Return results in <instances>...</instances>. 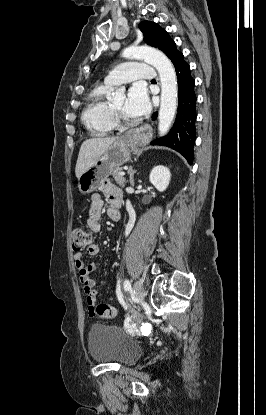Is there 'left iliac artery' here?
I'll return each mask as SVG.
<instances>
[{
    "label": "left iliac artery",
    "instance_id": "44dca946",
    "mask_svg": "<svg viewBox=\"0 0 266 415\" xmlns=\"http://www.w3.org/2000/svg\"><path fill=\"white\" fill-rule=\"evenodd\" d=\"M123 285H124V289H125L126 291L131 290V283H130V281H129V280L125 279V280H124V284H123ZM119 288H120V281H118V285H117V292H118Z\"/></svg>",
    "mask_w": 266,
    "mask_h": 415
}]
</instances>
